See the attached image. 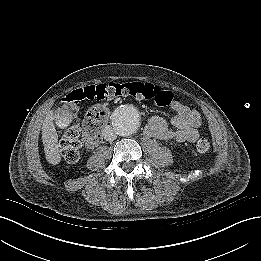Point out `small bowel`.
<instances>
[{
  "label": "small bowel",
  "mask_w": 261,
  "mask_h": 261,
  "mask_svg": "<svg viewBox=\"0 0 261 261\" xmlns=\"http://www.w3.org/2000/svg\"><path fill=\"white\" fill-rule=\"evenodd\" d=\"M168 106L176 113L170 122L172 127L163 117L153 116L147 123L145 135L163 141L195 142L203 124L199 111L173 98Z\"/></svg>",
  "instance_id": "c3829d8e"
}]
</instances>
